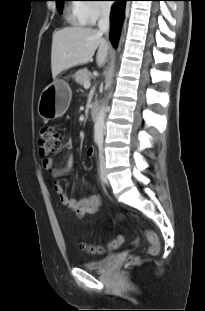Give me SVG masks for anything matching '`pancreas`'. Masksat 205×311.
<instances>
[{"label":"pancreas","mask_w":205,"mask_h":311,"mask_svg":"<svg viewBox=\"0 0 205 311\" xmlns=\"http://www.w3.org/2000/svg\"><path fill=\"white\" fill-rule=\"evenodd\" d=\"M90 75L91 73L85 68L78 70L73 77L77 83L83 85L85 81L90 80Z\"/></svg>","instance_id":"pancreas-1"}]
</instances>
